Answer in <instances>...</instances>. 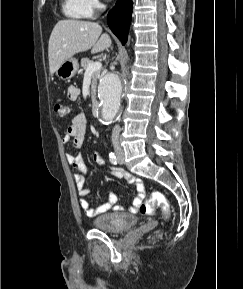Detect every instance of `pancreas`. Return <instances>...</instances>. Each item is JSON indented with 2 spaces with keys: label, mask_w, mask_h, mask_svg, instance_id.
<instances>
[{
  "label": "pancreas",
  "mask_w": 243,
  "mask_h": 289,
  "mask_svg": "<svg viewBox=\"0 0 243 289\" xmlns=\"http://www.w3.org/2000/svg\"><path fill=\"white\" fill-rule=\"evenodd\" d=\"M92 61L89 58H82L81 59V67L86 71L89 64ZM100 76V70L93 72L92 74V84H91V98L92 100L96 97V88H97V80Z\"/></svg>",
  "instance_id": "pancreas-1"
}]
</instances>
